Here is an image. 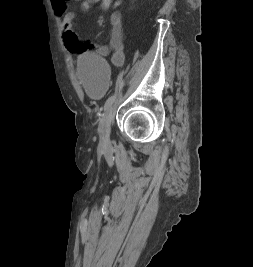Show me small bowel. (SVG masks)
Masks as SVG:
<instances>
[{"label": "small bowel", "instance_id": "obj_1", "mask_svg": "<svg viewBox=\"0 0 253 267\" xmlns=\"http://www.w3.org/2000/svg\"><path fill=\"white\" fill-rule=\"evenodd\" d=\"M80 1V9L83 12L92 10L94 4L99 3L101 11H107L111 7H118L121 0H74ZM54 11L62 18V42L64 46L72 53L95 52L97 54L109 55L111 61L116 66L124 63L125 55L123 52V26L122 15L118 11L111 13L109 22L111 26L109 42L106 45H93L79 40L77 34L73 31L72 22L74 12L69 8L70 0H51Z\"/></svg>", "mask_w": 253, "mask_h": 267}]
</instances>
